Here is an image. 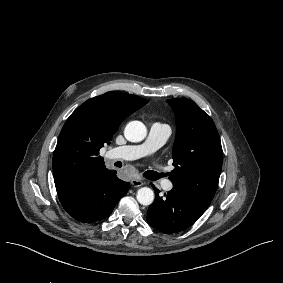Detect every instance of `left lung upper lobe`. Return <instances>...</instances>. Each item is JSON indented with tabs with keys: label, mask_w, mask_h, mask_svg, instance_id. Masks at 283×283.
I'll return each instance as SVG.
<instances>
[{
	"label": "left lung upper lobe",
	"mask_w": 283,
	"mask_h": 283,
	"mask_svg": "<svg viewBox=\"0 0 283 283\" xmlns=\"http://www.w3.org/2000/svg\"><path fill=\"white\" fill-rule=\"evenodd\" d=\"M177 133L173 147L174 170L169 179L177 186L211 203L218 187L223 152L213 120L187 98L167 100Z\"/></svg>",
	"instance_id": "left-lung-upper-lobe-1"
}]
</instances>
